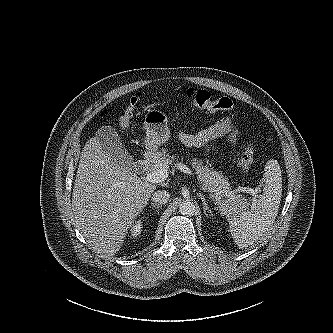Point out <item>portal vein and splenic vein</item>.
<instances>
[{"instance_id":"portal-vein-and-splenic-vein-1","label":"portal vein and splenic vein","mask_w":333,"mask_h":333,"mask_svg":"<svg viewBox=\"0 0 333 333\" xmlns=\"http://www.w3.org/2000/svg\"><path fill=\"white\" fill-rule=\"evenodd\" d=\"M174 167H176L177 169H179L180 171H182L188 175H193L190 168H188L186 165H184L182 163H177V164H175ZM168 173H169V165H164L160 169L146 174V176H144V179L151 183H161L166 180V178L168 177ZM260 186H261V183L258 185V187L256 189H253L251 187H238L237 189L234 190V193H237V192L238 193H240V192L249 193L254 196L252 201L255 202L256 196L260 189ZM203 190H206V189L203 188ZM237 196L240 197L239 195H237Z\"/></svg>"}]
</instances>
